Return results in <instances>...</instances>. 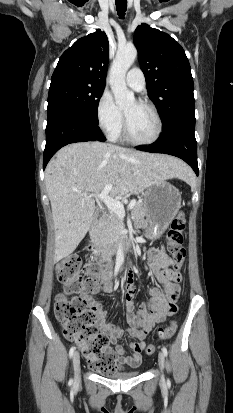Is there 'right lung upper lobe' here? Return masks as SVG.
Segmentation results:
<instances>
[{
	"instance_id": "obj_1",
	"label": "right lung upper lobe",
	"mask_w": 233,
	"mask_h": 413,
	"mask_svg": "<svg viewBox=\"0 0 233 413\" xmlns=\"http://www.w3.org/2000/svg\"><path fill=\"white\" fill-rule=\"evenodd\" d=\"M108 58L107 36L98 29L95 33L77 40L62 54L51 77V83L76 80L105 86Z\"/></svg>"
}]
</instances>
